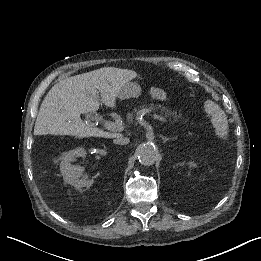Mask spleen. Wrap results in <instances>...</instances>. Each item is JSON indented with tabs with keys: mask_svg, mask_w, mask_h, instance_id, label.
<instances>
[{
	"mask_svg": "<svg viewBox=\"0 0 261 261\" xmlns=\"http://www.w3.org/2000/svg\"><path fill=\"white\" fill-rule=\"evenodd\" d=\"M208 105L205 107L207 115L211 118V123L214 129V135L216 140L220 144H226L230 140L229 126L227 118L223 110L219 106L208 101Z\"/></svg>",
	"mask_w": 261,
	"mask_h": 261,
	"instance_id": "obj_1",
	"label": "spleen"
}]
</instances>
